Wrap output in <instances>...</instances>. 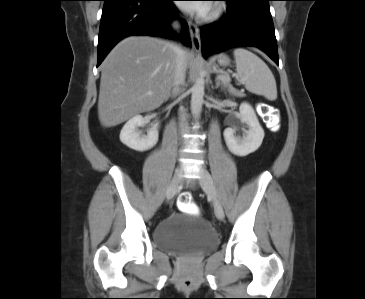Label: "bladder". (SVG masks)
I'll list each match as a JSON object with an SVG mask.
<instances>
[{"label":"bladder","instance_id":"bladder-1","mask_svg":"<svg viewBox=\"0 0 365 299\" xmlns=\"http://www.w3.org/2000/svg\"><path fill=\"white\" fill-rule=\"evenodd\" d=\"M152 237L158 249L182 255L203 254L219 244L217 234L206 219L186 212L172 214L160 221Z\"/></svg>","mask_w":365,"mask_h":299}]
</instances>
